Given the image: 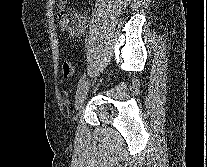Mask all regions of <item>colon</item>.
<instances>
[{"instance_id":"5ec220e1","label":"colon","mask_w":207,"mask_h":167,"mask_svg":"<svg viewBox=\"0 0 207 167\" xmlns=\"http://www.w3.org/2000/svg\"><path fill=\"white\" fill-rule=\"evenodd\" d=\"M74 72L73 62L70 59L65 60L62 63V73L64 77H71Z\"/></svg>"}]
</instances>
